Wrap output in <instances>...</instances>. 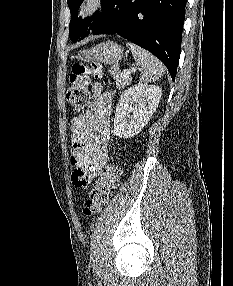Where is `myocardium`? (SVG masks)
Listing matches in <instances>:
<instances>
[{
  "mask_svg": "<svg viewBox=\"0 0 233 286\" xmlns=\"http://www.w3.org/2000/svg\"><path fill=\"white\" fill-rule=\"evenodd\" d=\"M105 4V0H80L77 6V18L86 20L97 14Z\"/></svg>",
  "mask_w": 233,
  "mask_h": 286,
  "instance_id": "myocardium-1",
  "label": "myocardium"
}]
</instances>
